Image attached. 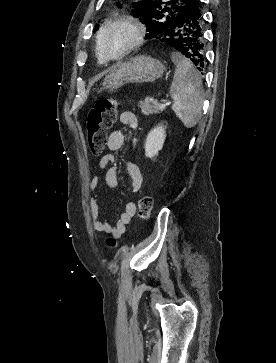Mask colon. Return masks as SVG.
I'll return each instance as SVG.
<instances>
[{
  "instance_id": "obj_1",
  "label": "colon",
  "mask_w": 276,
  "mask_h": 363,
  "mask_svg": "<svg viewBox=\"0 0 276 363\" xmlns=\"http://www.w3.org/2000/svg\"><path fill=\"white\" fill-rule=\"evenodd\" d=\"M119 101L114 98L100 99L87 114V133L90 150L94 156H101L104 152L107 132L112 127ZM153 200L149 195L142 196L138 201V213L143 220H148L152 213ZM110 239L108 244L114 245Z\"/></svg>"
}]
</instances>
